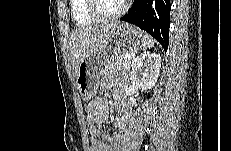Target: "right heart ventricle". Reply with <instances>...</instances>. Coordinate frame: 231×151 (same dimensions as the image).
Returning <instances> with one entry per match:
<instances>
[{
  "mask_svg": "<svg viewBox=\"0 0 231 151\" xmlns=\"http://www.w3.org/2000/svg\"><path fill=\"white\" fill-rule=\"evenodd\" d=\"M71 13L76 24L88 26L96 22L87 11V0H72Z\"/></svg>",
  "mask_w": 231,
  "mask_h": 151,
  "instance_id": "1",
  "label": "right heart ventricle"
}]
</instances>
